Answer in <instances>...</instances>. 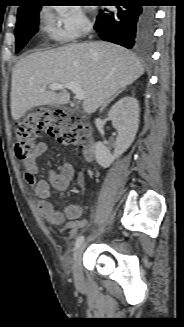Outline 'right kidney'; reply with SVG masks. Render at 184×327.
I'll return each mask as SVG.
<instances>
[{
    "mask_svg": "<svg viewBox=\"0 0 184 327\" xmlns=\"http://www.w3.org/2000/svg\"><path fill=\"white\" fill-rule=\"evenodd\" d=\"M108 117L117 130L118 136L113 154L102 142L96 143L95 159L103 168L109 167L134 141L139 127L138 100L129 96L121 98L109 110Z\"/></svg>",
    "mask_w": 184,
    "mask_h": 327,
    "instance_id": "obj_1",
    "label": "right kidney"
}]
</instances>
